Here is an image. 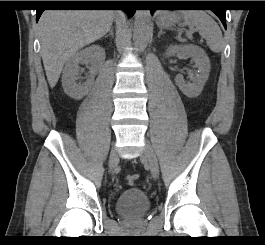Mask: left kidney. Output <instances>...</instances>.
<instances>
[{
	"instance_id": "left-kidney-1",
	"label": "left kidney",
	"mask_w": 265,
	"mask_h": 245,
	"mask_svg": "<svg viewBox=\"0 0 265 245\" xmlns=\"http://www.w3.org/2000/svg\"><path fill=\"white\" fill-rule=\"evenodd\" d=\"M181 54L190 57L195 63L194 67L197 68L195 76L191 78V82H186L181 74L175 77V83L179 89L189 98H194L200 95L203 87L209 77L210 60L204 50L199 46L189 45H174L169 46L166 55L174 56Z\"/></svg>"
}]
</instances>
